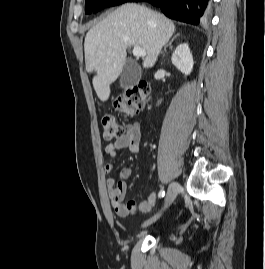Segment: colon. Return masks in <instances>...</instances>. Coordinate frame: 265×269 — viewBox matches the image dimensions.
<instances>
[{
  "label": "colon",
  "instance_id": "1",
  "mask_svg": "<svg viewBox=\"0 0 265 269\" xmlns=\"http://www.w3.org/2000/svg\"><path fill=\"white\" fill-rule=\"evenodd\" d=\"M149 88L145 82L129 88L124 94L118 96L114 101V108L127 116H133L143 108ZM122 126L113 115L107 114L102 117V137L111 141L122 135Z\"/></svg>",
  "mask_w": 265,
  "mask_h": 269
}]
</instances>
